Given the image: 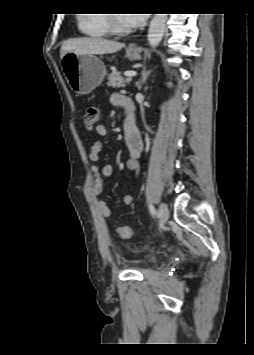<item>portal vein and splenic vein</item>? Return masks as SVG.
Here are the masks:
<instances>
[{"label":"portal vein and splenic vein","mask_w":254,"mask_h":355,"mask_svg":"<svg viewBox=\"0 0 254 355\" xmlns=\"http://www.w3.org/2000/svg\"><path fill=\"white\" fill-rule=\"evenodd\" d=\"M124 75L130 80L132 77L136 76V72L134 71H126Z\"/></svg>","instance_id":"1"}]
</instances>
